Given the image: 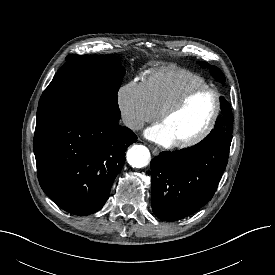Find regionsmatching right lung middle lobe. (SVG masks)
Returning a JSON list of instances; mask_svg holds the SVG:
<instances>
[{
	"label": "right lung middle lobe",
	"instance_id": "dd1d6c3e",
	"mask_svg": "<svg viewBox=\"0 0 275 275\" xmlns=\"http://www.w3.org/2000/svg\"><path fill=\"white\" fill-rule=\"evenodd\" d=\"M43 92L36 128L62 115L87 110L120 119L117 92L125 69L117 58L68 55Z\"/></svg>",
	"mask_w": 275,
	"mask_h": 275
}]
</instances>
